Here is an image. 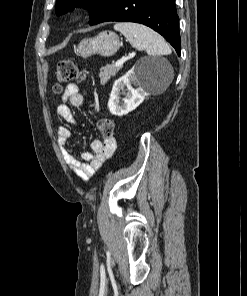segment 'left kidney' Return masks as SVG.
<instances>
[{"instance_id": "obj_1", "label": "left kidney", "mask_w": 247, "mask_h": 296, "mask_svg": "<svg viewBox=\"0 0 247 296\" xmlns=\"http://www.w3.org/2000/svg\"><path fill=\"white\" fill-rule=\"evenodd\" d=\"M162 66L138 61L130 71L114 82L108 108L111 114L123 116L136 109L149 96L147 87L157 78ZM137 86L134 89L131 83ZM121 95L125 97L120 101Z\"/></svg>"}]
</instances>
